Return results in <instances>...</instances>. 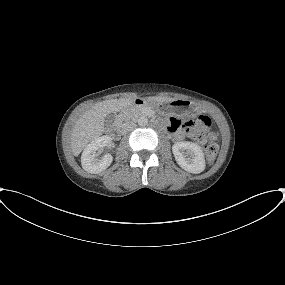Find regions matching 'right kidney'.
Listing matches in <instances>:
<instances>
[{"label":"right kidney","instance_id":"right-kidney-1","mask_svg":"<svg viewBox=\"0 0 285 285\" xmlns=\"http://www.w3.org/2000/svg\"><path fill=\"white\" fill-rule=\"evenodd\" d=\"M112 146V141L109 136H101L90 142L81 155V164L85 171L98 174L108 168L113 157L111 154H105L100 159L98 158L97 151L102 148H109Z\"/></svg>","mask_w":285,"mask_h":285}]
</instances>
